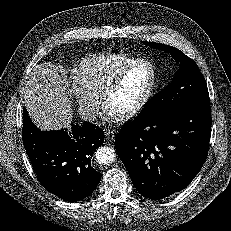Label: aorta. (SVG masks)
Returning <instances> with one entry per match:
<instances>
[{
	"label": "aorta",
	"instance_id": "aorta-1",
	"mask_svg": "<svg viewBox=\"0 0 231 231\" xmlns=\"http://www.w3.org/2000/svg\"><path fill=\"white\" fill-rule=\"evenodd\" d=\"M95 157L98 163L109 164L115 159L116 154L112 148L103 146L96 150Z\"/></svg>",
	"mask_w": 231,
	"mask_h": 231
}]
</instances>
